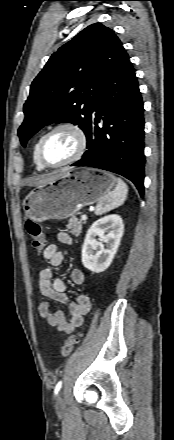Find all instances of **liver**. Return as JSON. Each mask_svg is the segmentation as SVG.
Returning a JSON list of instances; mask_svg holds the SVG:
<instances>
[{
    "instance_id": "obj_1",
    "label": "liver",
    "mask_w": 174,
    "mask_h": 440,
    "mask_svg": "<svg viewBox=\"0 0 174 440\" xmlns=\"http://www.w3.org/2000/svg\"><path fill=\"white\" fill-rule=\"evenodd\" d=\"M56 177H57V175H55V176H50V177H46V178H42V179H40V180H38V181L32 183V185H42V184H45V183H47V182H49V181L55 179Z\"/></svg>"
}]
</instances>
